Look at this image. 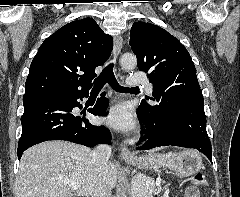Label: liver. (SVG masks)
<instances>
[{
  "label": "liver",
  "instance_id": "6515ba94",
  "mask_svg": "<svg viewBox=\"0 0 240 197\" xmlns=\"http://www.w3.org/2000/svg\"><path fill=\"white\" fill-rule=\"evenodd\" d=\"M92 153L68 141H47L29 148L20 160L16 197H88L98 180L111 191L117 183V167L110 162L100 169ZM65 181L80 187L74 190Z\"/></svg>",
  "mask_w": 240,
  "mask_h": 197
}]
</instances>
